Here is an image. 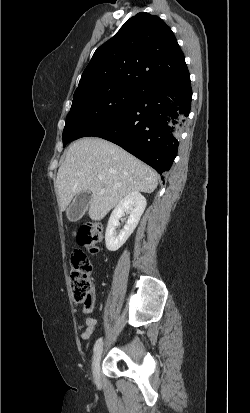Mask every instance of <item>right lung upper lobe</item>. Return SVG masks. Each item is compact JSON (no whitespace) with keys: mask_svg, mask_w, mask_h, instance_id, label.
<instances>
[{"mask_svg":"<svg viewBox=\"0 0 250 413\" xmlns=\"http://www.w3.org/2000/svg\"><path fill=\"white\" fill-rule=\"evenodd\" d=\"M188 76L170 27L158 16L141 12L95 51L75 92L116 86L142 91L161 83H180Z\"/></svg>","mask_w":250,"mask_h":413,"instance_id":"1","label":"right lung upper lobe"}]
</instances>
